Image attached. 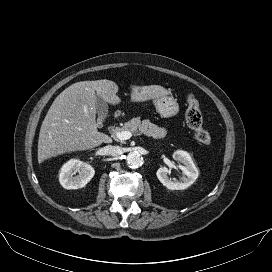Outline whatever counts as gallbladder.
I'll return each mask as SVG.
<instances>
[{
    "label": "gallbladder",
    "mask_w": 272,
    "mask_h": 272,
    "mask_svg": "<svg viewBox=\"0 0 272 272\" xmlns=\"http://www.w3.org/2000/svg\"><path fill=\"white\" fill-rule=\"evenodd\" d=\"M96 109L98 113L97 124L101 127L108 115V104L98 95L96 96Z\"/></svg>",
    "instance_id": "bac80fb5"
}]
</instances>
